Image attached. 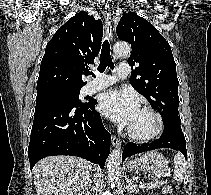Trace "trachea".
I'll list each match as a JSON object with an SVG mask.
<instances>
[{
    "label": "trachea",
    "mask_w": 211,
    "mask_h": 195,
    "mask_svg": "<svg viewBox=\"0 0 211 195\" xmlns=\"http://www.w3.org/2000/svg\"><path fill=\"white\" fill-rule=\"evenodd\" d=\"M106 67H109L110 69H114V65L110 56V44L108 40H105L102 45V50L100 54V64L98 66V71L103 72ZM88 74L95 76L93 72H88Z\"/></svg>",
    "instance_id": "obj_1"
}]
</instances>
